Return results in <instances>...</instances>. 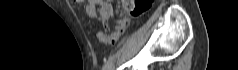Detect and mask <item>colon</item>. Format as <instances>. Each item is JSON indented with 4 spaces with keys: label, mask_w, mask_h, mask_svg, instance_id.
Wrapping results in <instances>:
<instances>
[{
    "label": "colon",
    "mask_w": 238,
    "mask_h": 70,
    "mask_svg": "<svg viewBox=\"0 0 238 70\" xmlns=\"http://www.w3.org/2000/svg\"><path fill=\"white\" fill-rule=\"evenodd\" d=\"M76 2L81 3L82 0H76ZM125 9L134 17L142 15L152 4V0H124ZM87 11L97 16L96 11L89 5Z\"/></svg>",
    "instance_id": "colon-1"
}]
</instances>
